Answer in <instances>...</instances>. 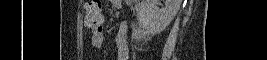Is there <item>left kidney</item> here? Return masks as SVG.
<instances>
[{
	"instance_id": "obj_1",
	"label": "left kidney",
	"mask_w": 267,
	"mask_h": 60,
	"mask_svg": "<svg viewBox=\"0 0 267 60\" xmlns=\"http://www.w3.org/2000/svg\"><path fill=\"white\" fill-rule=\"evenodd\" d=\"M181 0H166L165 7H159V0H144L137 10V18L142 26L152 34L162 32L174 19Z\"/></svg>"
}]
</instances>
